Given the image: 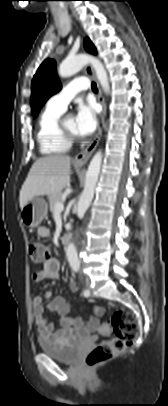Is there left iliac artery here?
<instances>
[{"label":"left iliac artery","instance_id":"left-iliac-artery-1","mask_svg":"<svg viewBox=\"0 0 168 406\" xmlns=\"http://www.w3.org/2000/svg\"><path fill=\"white\" fill-rule=\"evenodd\" d=\"M78 270H79L78 268L75 269L76 272H78ZM83 295H84L85 297H88V296L90 295L89 290L85 289V290L83 291Z\"/></svg>","mask_w":168,"mask_h":406}]
</instances>
